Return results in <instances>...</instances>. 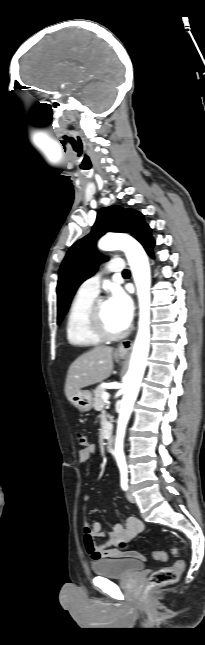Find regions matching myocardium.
<instances>
[{"instance_id":"obj_1","label":"myocardium","mask_w":205,"mask_h":645,"mask_svg":"<svg viewBox=\"0 0 205 645\" xmlns=\"http://www.w3.org/2000/svg\"><path fill=\"white\" fill-rule=\"evenodd\" d=\"M103 301L98 299L93 302L89 309L88 313V324L91 329V331L100 339L102 340H117L122 338L125 334L126 331L122 330L120 332H112L110 331L102 318L101 314V303Z\"/></svg>"}]
</instances>
